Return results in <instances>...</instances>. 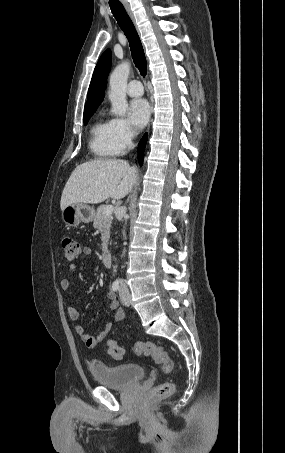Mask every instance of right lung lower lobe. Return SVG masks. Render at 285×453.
Masks as SVG:
<instances>
[{"instance_id": "obj_1", "label": "right lung lower lobe", "mask_w": 285, "mask_h": 453, "mask_svg": "<svg viewBox=\"0 0 285 453\" xmlns=\"http://www.w3.org/2000/svg\"><path fill=\"white\" fill-rule=\"evenodd\" d=\"M147 140V133L142 137L138 145V160L139 164L142 165L143 157H144V149Z\"/></svg>"}]
</instances>
